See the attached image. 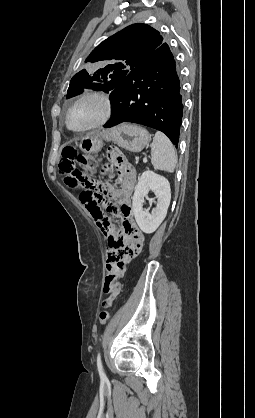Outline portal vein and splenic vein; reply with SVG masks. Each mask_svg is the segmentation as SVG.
I'll return each mask as SVG.
<instances>
[{
	"mask_svg": "<svg viewBox=\"0 0 255 418\" xmlns=\"http://www.w3.org/2000/svg\"><path fill=\"white\" fill-rule=\"evenodd\" d=\"M143 161H144V162H146V161H147V159H146V158H144V159H143Z\"/></svg>",
	"mask_w": 255,
	"mask_h": 418,
	"instance_id": "18ae733b",
	"label": "portal vein and splenic vein"
}]
</instances>
